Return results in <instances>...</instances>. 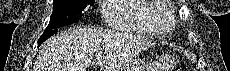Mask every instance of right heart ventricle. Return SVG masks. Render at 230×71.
<instances>
[{
	"label": "right heart ventricle",
	"mask_w": 230,
	"mask_h": 71,
	"mask_svg": "<svg viewBox=\"0 0 230 71\" xmlns=\"http://www.w3.org/2000/svg\"><path fill=\"white\" fill-rule=\"evenodd\" d=\"M172 7L165 0H121L107 6L109 25L119 31L161 36L172 31Z\"/></svg>",
	"instance_id": "e07e8e85"
}]
</instances>
